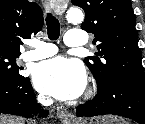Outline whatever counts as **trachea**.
<instances>
[{"label": "trachea", "instance_id": "1", "mask_svg": "<svg viewBox=\"0 0 145 124\" xmlns=\"http://www.w3.org/2000/svg\"><path fill=\"white\" fill-rule=\"evenodd\" d=\"M47 33L50 40H57L60 35V23L51 13L46 16Z\"/></svg>", "mask_w": 145, "mask_h": 124}]
</instances>
